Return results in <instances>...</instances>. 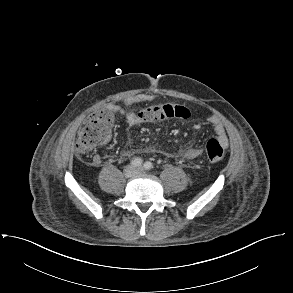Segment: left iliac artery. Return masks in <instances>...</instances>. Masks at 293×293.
<instances>
[{
    "label": "left iliac artery",
    "mask_w": 293,
    "mask_h": 293,
    "mask_svg": "<svg viewBox=\"0 0 293 293\" xmlns=\"http://www.w3.org/2000/svg\"><path fill=\"white\" fill-rule=\"evenodd\" d=\"M152 167H153V165H152L151 162L147 161V162L144 163V168L146 170H150V169H152Z\"/></svg>",
    "instance_id": "1"
}]
</instances>
